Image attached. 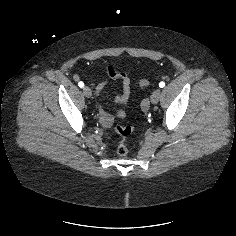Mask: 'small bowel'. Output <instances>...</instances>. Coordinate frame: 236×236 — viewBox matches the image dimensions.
<instances>
[{
    "mask_svg": "<svg viewBox=\"0 0 236 236\" xmlns=\"http://www.w3.org/2000/svg\"><path fill=\"white\" fill-rule=\"evenodd\" d=\"M109 77L115 81H118L122 90L119 93L114 94V100L119 104H125L131 95V84L129 78L124 74L116 71L113 67L109 66L107 69ZM108 86V82H101L96 88V94L99 95ZM100 121L105 126H110L113 122L114 117L124 119L126 117L125 111L121 109L115 110L113 113L109 112L105 108H101L99 111Z\"/></svg>",
    "mask_w": 236,
    "mask_h": 236,
    "instance_id": "small-bowel-1",
    "label": "small bowel"
}]
</instances>
